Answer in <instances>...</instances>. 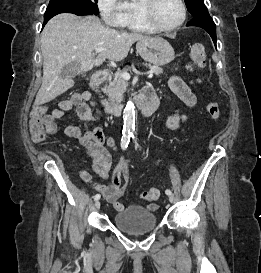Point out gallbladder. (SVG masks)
Segmentation results:
<instances>
[{"label":"gallbladder","mask_w":261,"mask_h":273,"mask_svg":"<svg viewBox=\"0 0 261 273\" xmlns=\"http://www.w3.org/2000/svg\"><path fill=\"white\" fill-rule=\"evenodd\" d=\"M80 74H82L83 76H85V74L82 73L79 70V64L77 62H71V63L65 65L62 68L60 76L68 78V77H76L77 75H80Z\"/></svg>","instance_id":"1"}]
</instances>
